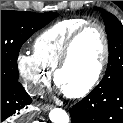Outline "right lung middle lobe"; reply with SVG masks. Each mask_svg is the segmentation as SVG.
I'll list each match as a JSON object with an SVG mask.
<instances>
[{
	"mask_svg": "<svg viewBox=\"0 0 123 123\" xmlns=\"http://www.w3.org/2000/svg\"><path fill=\"white\" fill-rule=\"evenodd\" d=\"M57 16L55 12L1 11V82H18L17 58L22 44Z\"/></svg>",
	"mask_w": 123,
	"mask_h": 123,
	"instance_id": "obj_1",
	"label": "right lung middle lobe"
}]
</instances>
